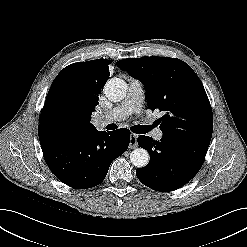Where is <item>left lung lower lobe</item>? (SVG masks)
<instances>
[{"mask_svg": "<svg viewBox=\"0 0 247 247\" xmlns=\"http://www.w3.org/2000/svg\"><path fill=\"white\" fill-rule=\"evenodd\" d=\"M138 145L150 154L147 166L136 175L144 185L156 191H173L189 182L200 170L208 143L163 135L156 142L140 135Z\"/></svg>", "mask_w": 247, "mask_h": 247, "instance_id": "0a47b994", "label": "left lung lower lobe"}]
</instances>
